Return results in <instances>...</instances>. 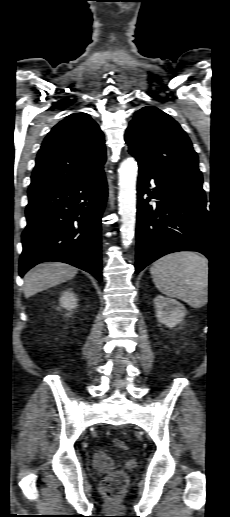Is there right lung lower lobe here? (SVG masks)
<instances>
[{"mask_svg": "<svg viewBox=\"0 0 230 517\" xmlns=\"http://www.w3.org/2000/svg\"><path fill=\"white\" fill-rule=\"evenodd\" d=\"M106 199L103 170L75 183L29 193L20 276L38 263L59 261L101 281V217Z\"/></svg>", "mask_w": 230, "mask_h": 517, "instance_id": "1", "label": "right lung lower lobe"}]
</instances>
